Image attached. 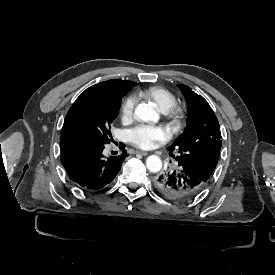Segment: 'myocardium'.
Instances as JSON below:
<instances>
[{
    "instance_id": "obj_1",
    "label": "myocardium",
    "mask_w": 275,
    "mask_h": 275,
    "mask_svg": "<svg viewBox=\"0 0 275 275\" xmlns=\"http://www.w3.org/2000/svg\"><path fill=\"white\" fill-rule=\"evenodd\" d=\"M163 114L168 118L170 125L174 129H178L181 126L184 119V113L179 107L173 105L168 109L163 110Z\"/></svg>"
}]
</instances>
